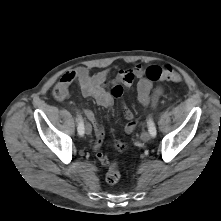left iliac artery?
<instances>
[{"label": "left iliac artery", "mask_w": 221, "mask_h": 221, "mask_svg": "<svg viewBox=\"0 0 221 221\" xmlns=\"http://www.w3.org/2000/svg\"><path fill=\"white\" fill-rule=\"evenodd\" d=\"M147 125H148V130H149L150 134L153 137H155L156 136V127H155V124L151 118H149Z\"/></svg>", "instance_id": "obj_1"}]
</instances>
